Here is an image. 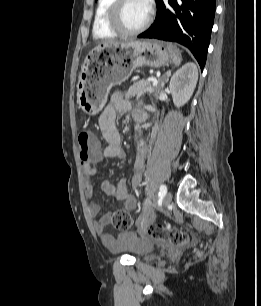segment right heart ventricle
I'll return each instance as SVG.
<instances>
[{
    "label": "right heart ventricle",
    "instance_id": "1",
    "mask_svg": "<svg viewBox=\"0 0 261 306\" xmlns=\"http://www.w3.org/2000/svg\"><path fill=\"white\" fill-rule=\"evenodd\" d=\"M113 1L98 0L97 2L92 23V35L95 39H112L118 35L107 23V12Z\"/></svg>",
    "mask_w": 261,
    "mask_h": 306
}]
</instances>
